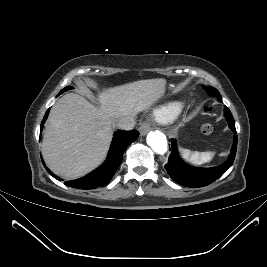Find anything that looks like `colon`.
<instances>
[{
	"label": "colon",
	"instance_id": "1",
	"mask_svg": "<svg viewBox=\"0 0 267 267\" xmlns=\"http://www.w3.org/2000/svg\"><path fill=\"white\" fill-rule=\"evenodd\" d=\"M213 131V127L211 124H204L202 126V132L206 135L211 134Z\"/></svg>",
	"mask_w": 267,
	"mask_h": 267
}]
</instances>
